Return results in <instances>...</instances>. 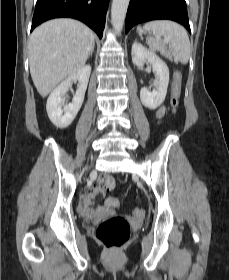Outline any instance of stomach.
<instances>
[{"label": "stomach", "mask_w": 229, "mask_h": 280, "mask_svg": "<svg viewBox=\"0 0 229 280\" xmlns=\"http://www.w3.org/2000/svg\"><path fill=\"white\" fill-rule=\"evenodd\" d=\"M137 31L139 33V35H143L145 32L143 29H141L140 27L137 28Z\"/></svg>", "instance_id": "obj_1"}]
</instances>
